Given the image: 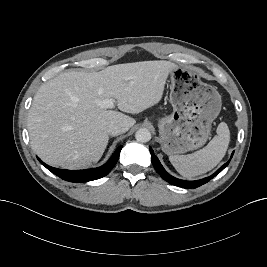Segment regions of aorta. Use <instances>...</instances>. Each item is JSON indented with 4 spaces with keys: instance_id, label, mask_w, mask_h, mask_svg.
I'll use <instances>...</instances> for the list:
<instances>
[{
    "instance_id": "aorta-1",
    "label": "aorta",
    "mask_w": 267,
    "mask_h": 267,
    "mask_svg": "<svg viewBox=\"0 0 267 267\" xmlns=\"http://www.w3.org/2000/svg\"><path fill=\"white\" fill-rule=\"evenodd\" d=\"M135 138L138 142H148L151 139V133L147 128H140L135 133Z\"/></svg>"
}]
</instances>
